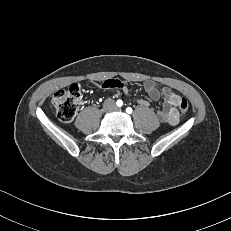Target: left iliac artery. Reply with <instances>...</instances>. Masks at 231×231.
I'll return each instance as SVG.
<instances>
[{
    "mask_svg": "<svg viewBox=\"0 0 231 231\" xmlns=\"http://www.w3.org/2000/svg\"><path fill=\"white\" fill-rule=\"evenodd\" d=\"M126 112H127L128 114H131V113H132V108H130V107L126 108Z\"/></svg>",
    "mask_w": 231,
    "mask_h": 231,
    "instance_id": "obj_1",
    "label": "left iliac artery"
}]
</instances>
